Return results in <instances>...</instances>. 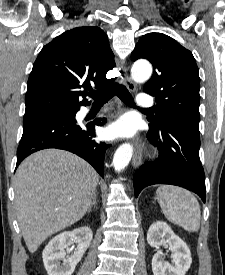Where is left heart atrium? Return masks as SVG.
Returning a JSON list of instances; mask_svg holds the SVG:
<instances>
[{"instance_id": "39dd6f15", "label": "left heart atrium", "mask_w": 225, "mask_h": 275, "mask_svg": "<svg viewBox=\"0 0 225 275\" xmlns=\"http://www.w3.org/2000/svg\"><path fill=\"white\" fill-rule=\"evenodd\" d=\"M135 131V123L130 118H122L106 129V135L109 138L130 137Z\"/></svg>"}]
</instances>
